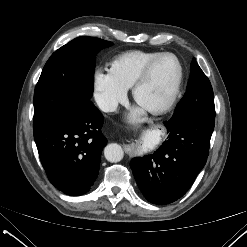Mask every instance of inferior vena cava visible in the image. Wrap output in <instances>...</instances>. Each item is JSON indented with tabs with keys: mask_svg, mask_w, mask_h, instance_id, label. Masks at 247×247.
<instances>
[{
	"mask_svg": "<svg viewBox=\"0 0 247 247\" xmlns=\"http://www.w3.org/2000/svg\"><path fill=\"white\" fill-rule=\"evenodd\" d=\"M97 104L103 112H114L117 109L118 103L113 100H98Z\"/></svg>",
	"mask_w": 247,
	"mask_h": 247,
	"instance_id": "obj_1",
	"label": "inferior vena cava"
}]
</instances>
